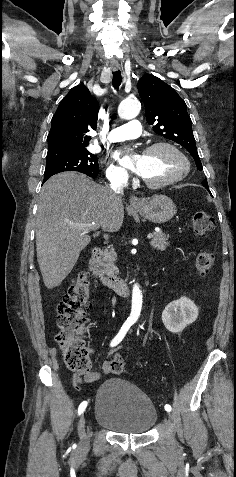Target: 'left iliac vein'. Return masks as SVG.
Instances as JSON below:
<instances>
[{
  "label": "left iliac vein",
  "mask_w": 236,
  "mask_h": 477,
  "mask_svg": "<svg viewBox=\"0 0 236 477\" xmlns=\"http://www.w3.org/2000/svg\"><path fill=\"white\" fill-rule=\"evenodd\" d=\"M164 413H165V416H166V417H172V416H173V413H172V412H170V410H168V409H167V410H165V412H164ZM171 420H172V421H174L175 419H174V418H172Z\"/></svg>",
  "instance_id": "left-iliac-vein-1"
}]
</instances>
